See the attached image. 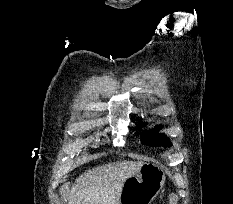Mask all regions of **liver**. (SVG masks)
Instances as JSON below:
<instances>
[{"mask_svg":"<svg viewBox=\"0 0 233 204\" xmlns=\"http://www.w3.org/2000/svg\"><path fill=\"white\" fill-rule=\"evenodd\" d=\"M143 162L118 161L81 174L72 185L68 204H119L126 179L135 176Z\"/></svg>","mask_w":233,"mask_h":204,"instance_id":"1","label":"liver"}]
</instances>
